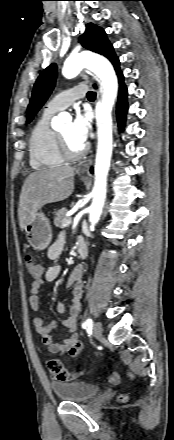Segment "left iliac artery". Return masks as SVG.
Here are the masks:
<instances>
[{
    "label": "left iliac artery",
    "instance_id": "left-iliac-artery-1",
    "mask_svg": "<svg viewBox=\"0 0 174 440\" xmlns=\"http://www.w3.org/2000/svg\"><path fill=\"white\" fill-rule=\"evenodd\" d=\"M92 325H93V321H92V319L88 318V319L82 324V327L85 329V328H87V327H92Z\"/></svg>",
    "mask_w": 174,
    "mask_h": 440
}]
</instances>
